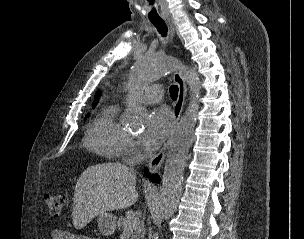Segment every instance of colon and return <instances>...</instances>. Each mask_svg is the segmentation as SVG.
Masks as SVG:
<instances>
[{
	"instance_id": "obj_1",
	"label": "colon",
	"mask_w": 304,
	"mask_h": 239,
	"mask_svg": "<svg viewBox=\"0 0 304 239\" xmlns=\"http://www.w3.org/2000/svg\"><path fill=\"white\" fill-rule=\"evenodd\" d=\"M43 201L50 215L57 217L61 214L65 206L66 197L63 193H47L44 195Z\"/></svg>"
}]
</instances>
